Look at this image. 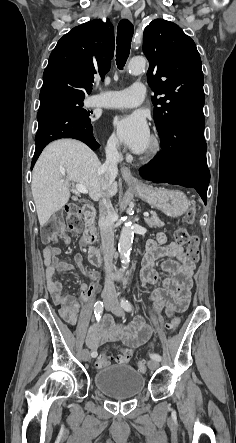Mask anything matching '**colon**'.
Here are the masks:
<instances>
[{
    "instance_id": "obj_1",
    "label": "colon",
    "mask_w": 236,
    "mask_h": 443,
    "mask_svg": "<svg viewBox=\"0 0 236 443\" xmlns=\"http://www.w3.org/2000/svg\"><path fill=\"white\" fill-rule=\"evenodd\" d=\"M195 208L192 206L183 218V225L175 230L174 238L175 242L179 245L187 246V255L192 262H196L199 259V239L195 235H191L188 232L187 226L191 225L194 221ZM65 226L71 232H78L82 227V212L77 205H68L65 210L64 219L54 218L48 224L42 228L41 236L44 243L57 242L60 238L65 236ZM179 318H173L167 325V327L175 332L179 327ZM132 353L128 348H122L117 355H109L105 352L101 353L95 360V366L97 368H104L114 362L128 363L131 359ZM138 370L141 373L146 371V362L144 360L138 363Z\"/></svg>"
}]
</instances>
